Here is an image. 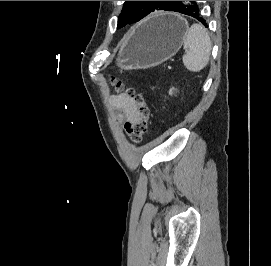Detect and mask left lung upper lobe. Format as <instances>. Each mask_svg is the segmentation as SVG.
Masks as SVG:
<instances>
[{"label": "left lung upper lobe", "instance_id": "left-lung-upper-lobe-1", "mask_svg": "<svg viewBox=\"0 0 271 266\" xmlns=\"http://www.w3.org/2000/svg\"><path fill=\"white\" fill-rule=\"evenodd\" d=\"M176 1H125L117 28L138 22L156 10L168 11Z\"/></svg>", "mask_w": 271, "mask_h": 266}]
</instances>
